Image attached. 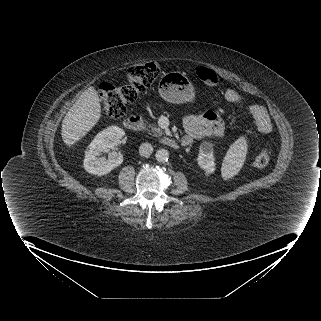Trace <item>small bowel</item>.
<instances>
[{
  "mask_svg": "<svg viewBox=\"0 0 321 321\" xmlns=\"http://www.w3.org/2000/svg\"><path fill=\"white\" fill-rule=\"evenodd\" d=\"M224 98L228 102L242 104L244 112L253 120L259 132L267 133L271 130V119L264 107L249 103L242 93L233 88L225 90ZM183 124L186 145H192L195 140L219 139L224 135V123L213 111H208L201 116H188Z\"/></svg>",
  "mask_w": 321,
  "mask_h": 321,
  "instance_id": "small-bowel-1",
  "label": "small bowel"
}]
</instances>
